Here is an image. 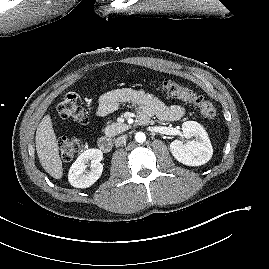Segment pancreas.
I'll list each match as a JSON object with an SVG mask.
<instances>
[{
	"label": "pancreas",
	"mask_w": 269,
	"mask_h": 269,
	"mask_svg": "<svg viewBox=\"0 0 269 269\" xmlns=\"http://www.w3.org/2000/svg\"><path fill=\"white\" fill-rule=\"evenodd\" d=\"M127 124H120V123H112L110 125H107L105 128V135L108 137H114L117 134H120L128 129Z\"/></svg>",
	"instance_id": "obj_1"
}]
</instances>
